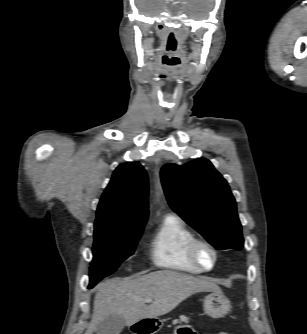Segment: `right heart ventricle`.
I'll return each instance as SVG.
<instances>
[{"mask_svg":"<svg viewBox=\"0 0 307 334\" xmlns=\"http://www.w3.org/2000/svg\"><path fill=\"white\" fill-rule=\"evenodd\" d=\"M193 232L173 214L165 215L149 240V256L152 263L161 269L198 274L203 271L194 265L187 255V244Z\"/></svg>","mask_w":307,"mask_h":334,"instance_id":"right-heart-ventricle-1","label":"right heart ventricle"}]
</instances>
